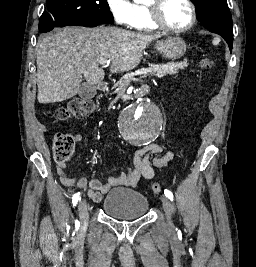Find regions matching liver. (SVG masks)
<instances>
[{
	"mask_svg": "<svg viewBox=\"0 0 256 267\" xmlns=\"http://www.w3.org/2000/svg\"><path fill=\"white\" fill-rule=\"evenodd\" d=\"M157 38L161 36L114 26L56 28L54 34L43 38L37 52L39 104L73 98L83 76L88 84H102L105 72L99 68L101 60H110L111 74L134 70L142 60L143 50Z\"/></svg>",
	"mask_w": 256,
	"mask_h": 267,
	"instance_id": "1",
	"label": "liver"
}]
</instances>
